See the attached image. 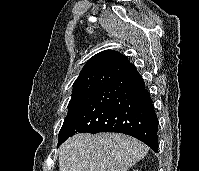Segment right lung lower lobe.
<instances>
[{
	"instance_id": "right-lung-lower-lobe-1",
	"label": "right lung lower lobe",
	"mask_w": 199,
	"mask_h": 171,
	"mask_svg": "<svg viewBox=\"0 0 199 171\" xmlns=\"http://www.w3.org/2000/svg\"><path fill=\"white\" fill-rule=\"evenodd\" d=\"M124 133L158 151V118L149 92L131 67L97 91L68 126L58 146L77 133Z\"/></svg>"
}]
</instances>
